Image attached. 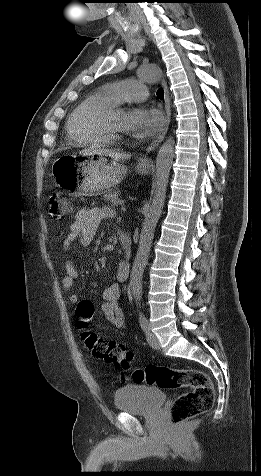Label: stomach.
I'll list each match as a JSON object with an SVG mask.
<instances>
[{
  "label": "stomach",
  "mask_w": 261,
  "mask_h": 476,
  "mask_svg": "<svg viewBox=\"0 0 261 476\" xmlns=\"http://www.w3.org/2000/svg\"><path fill=\"white\" fill-rule=\"evenodd\" d=\"M91 151L74 156H59V164H54L56 183L69 195H94L109 190L119 184L128 169L126 166L109 161V152H98L94 158ZM139 173L146 174L148 167L137 165Z\"/></svg>",
  "instance_id": "stomach-1"
}]
</instances>
